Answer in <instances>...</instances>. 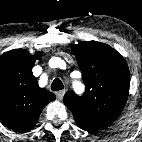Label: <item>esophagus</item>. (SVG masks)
<instances>
[{
	"instance_id": "34e87169",
	"label": "esophagus",
	"mask_w": 142,
	"mask_h": 142,
	"mask_svg": "<svg viewBox=\"0 0 142 142\" xmlns=\"http://www.w3.org/2000/svg\"><path fill=\"white\" fill-rule=\"evenodd\" d=\"M64 94H65V90L58 91V92L56 93L57 99H58L59 101H62V99H63V97H64Z\"/></svg>"
}]
</instances>
